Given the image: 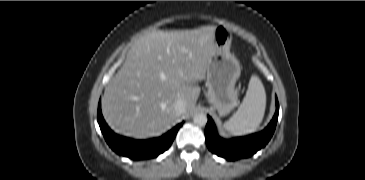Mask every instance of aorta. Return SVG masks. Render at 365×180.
I'll list each match as a JSON object with an SVG mask.
<instances>
[{
  "instance_id": "762f6f07",
  "label": "aorta",
  "mask_w": 365,
  "mask_h": 180,
  "mask_svg": "<svg viewBox=\"0 0 365 180\" xmlns=\"http://www.w3.org/2000/svg\"><path fill=\"white\" fill-rule=\"evenodd\" d=\"M207 121V116L204 113L196 114L193 118V122L199 126H205Z\"/></svg>"
}]
</instances>
